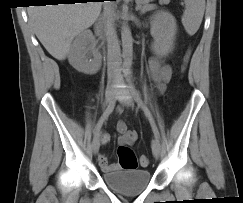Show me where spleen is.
Returning a JSON list of instances; mask_svg holds the SVG:
<instances>
[{
  "label": "spleen",
  "instance_id": "3e777b00",
  "mask_svg": "<svg viewBox=\"0 0 243 203\" xmlns=\"http://www.w3.org/2000/svg\"><path fill=\"white\" fill-rule=\"evenodd\" d=\"M185 11L182 24L189 35H194L202 22L205 11V0H184Z\"/></svg>",
  "mask_w": 243,
  "mask_h": 203
}]
</instances>
